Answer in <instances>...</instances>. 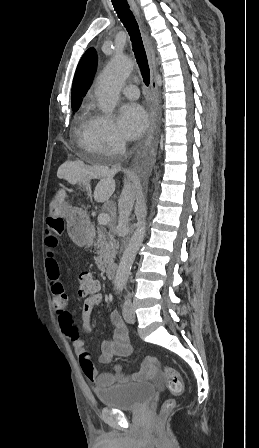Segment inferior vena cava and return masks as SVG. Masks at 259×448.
I'll return each mask as SVG.
<instances>
[{"mask_svg": "<svg viewBox=\"0 0 259 448\" xmlns=\"http://www.w3.org/2000/svg\"><path fill=\"white\" fill-rule=\"evenodd\" d=\"M117 146L121 154L126 152V142L121 140V142H118ZM113 172H117V168H115ZM133 190H135V186H133V184H128V186H125L124 190H122L120 200H118L119 218L117 232H124V230H128L129 216L134 206V196L132 194ZM130 298L131 294H128L125 298L124 308H129V306H131Z\"/></svg>", "mask_w": 259, "mask_h": 448, "instance_id": "602c4592", "label": "inferior vena cava"}]
</instances>
